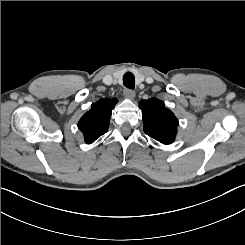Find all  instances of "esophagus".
<instances>
[{
	"label": "esophagus",
	"mask_w": 245,
	"mask_h": 245,
	"mask_svg": "<svg viewBox=\"0 0 245 245\" xmlns=\"http://www.w3.org/2000/svg\"><path fill=\"white\" fill-rule=\"evenodd\" d=\"M123 95L130 100H133L135 98V92L129 89H125L123 91Z\"/></svg>",
	"instance_id": "1"
}]
</instances>
